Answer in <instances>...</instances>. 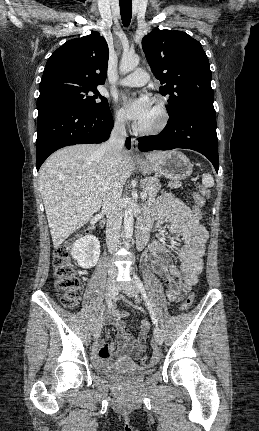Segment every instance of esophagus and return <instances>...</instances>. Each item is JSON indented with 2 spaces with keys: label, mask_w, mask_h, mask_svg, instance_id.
<instances>
[{
  "label": "esophagus",
  "mask_w": 259,
  "mask_h": 431,
  "mask_svg": "<svg viewBox=\"0 0 259 431\" xmlns=\"http://www.w3.org/2000/svg\"><path fill=\"white\" fill-rule=\"evenodd\" d=\"M131 153H132V156L134 158L140 157L139 152H138V141L136 138L131 139Z\"/></svg>",
  "instance_id": "esophagus-1"
}]
</instances>
